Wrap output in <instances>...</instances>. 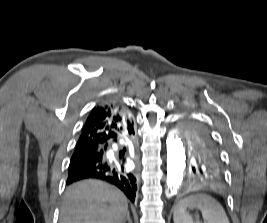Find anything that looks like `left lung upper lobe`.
<instances>
[{
	"label": "left lung upper lobe",
	"mask_w": 267,
	"mask_h": 223,
	"mask_svg": "<svg viewBox=\"0 0 267 223\" xmlns=\"http://www.w3.org/2000/svg\"><path fill=\"white\" fill-rule=\"evenodd\" d=\"M191 171H223L218 149L208 130L194 121L180 126Z\"/></svg>",
	"instance_id": "5c2ea615"
}]
</instances>
